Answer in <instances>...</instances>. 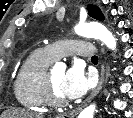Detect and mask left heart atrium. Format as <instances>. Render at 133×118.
Here are the masks:
<instances>
[{
	"mask_svg": "<svg viewBox=\"0 0 133 118\" xmlns=\"http://www.w3.org/2000/svg\"><path fill=\"white\" fill-rule=\"evenodd\" d=\"M92 84V76L86 74L82 65L74 64L64 74L60 89L65 98L77 99L86 94Z\"/></svg>",
	"mask_w": 133,
	"mask_h": 118,
	"instance_id": "1",
	"label": "left heart atrium"
}]
</instances>
